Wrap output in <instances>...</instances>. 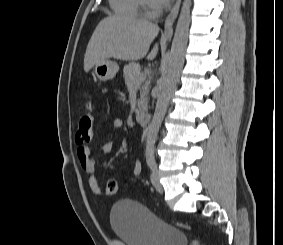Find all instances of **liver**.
Masks as SVG:
<instances>
[{"mask_svg":"<svg viewBox=\"0 0 283 245\" xmlns=\"http://www.w3.org/2000/svg\"><path fill=\"white\" fill-rule=\"evenodd\" d=\"M159 27L149 21L128 16H108L96 27L84 56V71L97 63L114 58L123 61L146 57L150 44L158 35ZM158 53L155 44L147 55L153 60Z\"/></svg>","mask_w":283,"mask_h":245,"instance_id":"6515ba94","label":"liver"}]
</instances>
